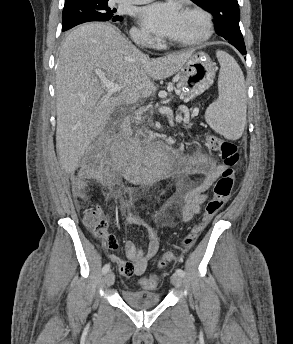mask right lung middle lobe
<instances>
[{"label": "right lung middle lobe", "mask_w": 293, "mask_h": 344, "mask_svg": "<svg viewBox=\"0 0 293 344\" xmlns=\"http://www.w3.org/2000/svg\"><path fill=\"white\" fill-rule=\"evenodd\" d=\"M109 0H77L65 3L62 14V31L90 21H119L116 9L108 7Z\"/></svg>", "instance_id": "dd1d6c3e"}]
</instances>
